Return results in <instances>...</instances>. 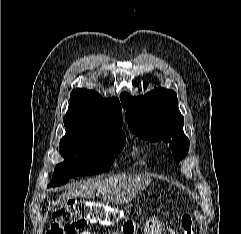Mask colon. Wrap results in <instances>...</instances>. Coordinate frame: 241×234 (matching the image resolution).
Instances as JSON below:
<instances>
[{
	"label": "colon",
	"instance_id": "5ec220e1",
	"mask_svg": "<svg viewBox=\"0 0 241 234\" xmlns=\"http://www.w3.org/2000/svg\"><path fill=\"white\" fill-rule=\"evenodd\" d=\"M119 220L118 212L106 205L90 201L70 199L55 212L47 234H76L89 223L113 225ZM184 234H194L193 222L189 215L181 219Z\"/></svg>",
	"mask_w": 241,
	"mask_h": 234
}]
</instances>
